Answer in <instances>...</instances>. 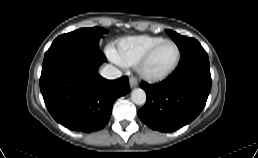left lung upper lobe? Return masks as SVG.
Returning a JSON list of instances; mask_svg holds the SVG:
<instances>
[{"label": "left lung upper lobe", "mask_w": 258, "mask_h": 158, "mask_svg": "<svg viewBox=\"0 0 258 158\" xmlns=\"http://www.w3.org/2000/svg\"><path fill=\"white\" fill-rule=\"evenodd\" d=\"M166 31L178 46L181 54L184 53L192 44L198 42L194 38L181 36L172 30H166Z\"/></svg>", "instance_id": "1"}]
</instances>
